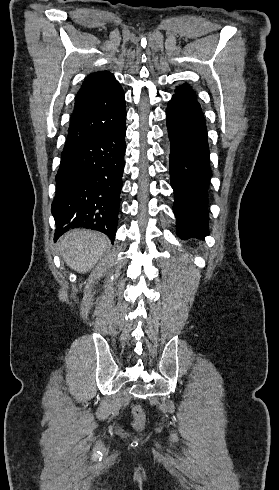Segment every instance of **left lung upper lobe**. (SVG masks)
<instances>
[{
	"label": "left lung upper lobe",
	"instance_id": "left-lung-upper-lobe-1",
	"mask_svg": "<svg viewBox=\"0 0 279 490\" xmlns=\"http://www.w3.org/2000/svg\"><path fill=\"white\" fill-rule=\"evenodd\" d=\"M174 96L179 97L185 101L200 105L196 99L195 92L192 90V88L189 85L184 84L179 86L176 89V94Z\"/></svg>",
	"mask_w": 279,
	"mask_h": 490
}]
</instances>
